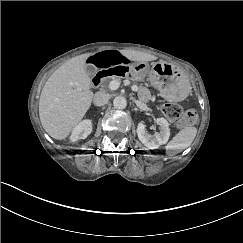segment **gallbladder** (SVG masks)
I'll list each match as a JSON object with an SVG mask.
<instances>
[{"label": "gallbladder", "mask_w": 243, "mask_h": 243, "mask_svg": "<svg viewBox=\"0 0 243 243\" xmlns=\"http://www.w3.org/2000/svg\"><path fill=\"white\" fill-rule=\"evenodd\" d=\"M97 71L96 65H87L86 66V72L88 77H93L94 73Z\"/></svg>", "instance_id": "gallbladder-1"}]
</instances>
